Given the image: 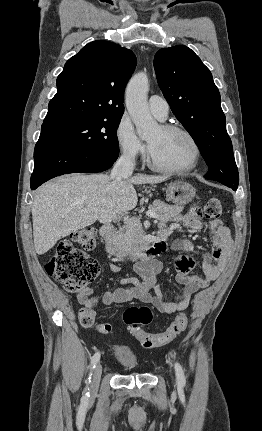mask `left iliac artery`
<instances>
[{
    "label": "left iliac artery",
    "mask_w": 262,
    "mask_h": 431,
    "mask_svg": "<svg viewBox=\"0 0 262 431\" xmlns=\"http://www.w3.org/2000/svg\"><path fill=\"white\" fill-rule=\"evenodd\" d=\"M175 372H176L178 384L180 386H184L186 383V379H185V375H184V371L182 369V366L179 363H175Z\"/></svg>",
    "instance_id": "left-iliac-artery-1"
}]
</instances>
